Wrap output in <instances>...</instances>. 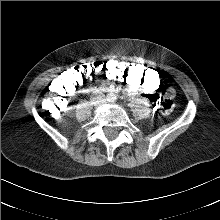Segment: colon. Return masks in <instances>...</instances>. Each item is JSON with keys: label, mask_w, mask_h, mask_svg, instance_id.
Masks as SVG:
<instances>
[{"label": "colon", "mask_w": 220, "mask_h": 220, "mask_svg": "<svg viewBox=\"0 0 220 220\" xmlns=\"http://www.w3.org/2000/svg\"><path fill=\"white\" fill-rule=\"evenodd\" d=\"M86 85H101L104 81H122L140 91H154L159 88L161 78L149 64L140 65L135 61L111 60L92 62L74 66L56 77L54 83L46 88L41 104L48 115H55L64 109L65 99L70 93L79 90L82 82ZM174 91L166 88L162 93L147 95L151 102L149 112L156 117H165L171 112Z\"/></svg>", "instance_id": "1"}]
</instances>
